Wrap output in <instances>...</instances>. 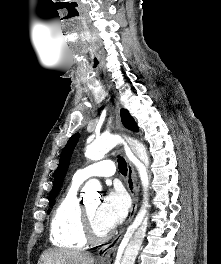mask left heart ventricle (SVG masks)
<instances>
[{
	"label": "left heart ventricle",
	"mask_w": 221,
	"mask_h": 264,
	"mask_svg": "<svg viewBox=\"0 0 221 264\" xmlns=\"http://www.w3.org/2000/svg\"><path fill=\"white\" fill-rule=\"evenodd\" d=\"M86 210L89 214L91 222L93 224L94 230L98 234H104L108 231V229L100 222L97 217V210L99 207L98 200H91L85 203Z\"/></svg>",
	"instance_id": "1"
}]
</instances>
